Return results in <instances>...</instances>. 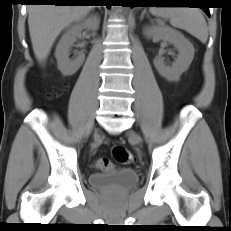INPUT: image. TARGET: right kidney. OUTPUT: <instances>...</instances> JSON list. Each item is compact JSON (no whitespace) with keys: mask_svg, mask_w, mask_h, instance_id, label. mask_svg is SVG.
I'll list each match as a JSON object with an SVG mask.
<instances>
[{"mask_svg":"<svg viewBox=\"0 0 231 231\" xmlns=\"http://www.w3.org/2000/svg\"><path fill=\"white\" fill-rule=\"evenodd\" d=\"M100 19L97 16H90L71 26L61 37L55 51L58 68L64 76H71L77 72L85 60V54L78 52L70 59V49L81 36L83 29L96 31L99 28Z\"/></svg>","mask_w":231,"mask_h":231,"instance_id":"right-kidney-1","label":"right kidney"}]
</instances>
